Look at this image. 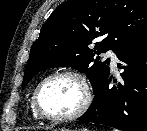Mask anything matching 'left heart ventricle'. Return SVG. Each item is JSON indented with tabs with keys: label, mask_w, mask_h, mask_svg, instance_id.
Here are the masks:
<instances>
[{
	"label": "left heart ventricle",
	"mask_w": 147,
	"mask_h": 131,
	"mask_svg": "<svg viewBox=\"0 0 147 131\" xmlns=\"http://www.w3.org/2000/svg\"><path fill=\"white\" fill-rule=\"evenodd\" d=\"M40 104L50 115H68L76 111L84 99V91L78 80L63 76L51 79L40 92Z\"/></svg>",
	"instance_id": "b2bd125f"
}]
</instances>
